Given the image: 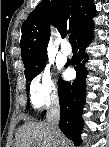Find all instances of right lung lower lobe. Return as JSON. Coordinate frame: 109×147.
<instances>
[{
	"mask_svg": "<svg viewBox=\"0 0 109 147\" xmlns=\"http://www.w3.org/2000/svg\"><path fill=\"white\" fill-rule=\"evenodd\" d=\"M93 31V21L76 36L79 53L71 59V65L75 67L77 77L71 84L62 79L58 83V93L60 100V122L59 127L66 137L74 141L76 145L81 144L80 134L82 131L83 119L81 117L82 109L85 104V78L87 69L83 63L87 60L85 54L86 46L91 42L92 38L89 33ZM45 111L42 115H45Z\"/></svg>",
	"mask_w": 109,
	"mask_h": 147,
	"instance_id": "right-lung-lower-lobe-1",
	"label": "right lung lower lobe"
}]
</instances>
